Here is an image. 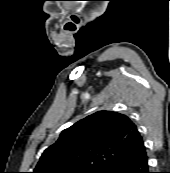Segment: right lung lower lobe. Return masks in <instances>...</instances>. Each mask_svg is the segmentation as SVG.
Masks as SVG:
<instances>
[{"label":"right lung lower lobe","instance_id":"98d812e1","mask_svg":"<svg viewBox=\"0 0 170 173\" xmlns=\"http://www.w3.org/2000/svg\"><path fill=\"white\" fill-rule=\"evenodd\" d=\"M102 173H150L145 146L110 165Z\"/></svg>","mask_w":170,"mask_h":173}]
</instances>
